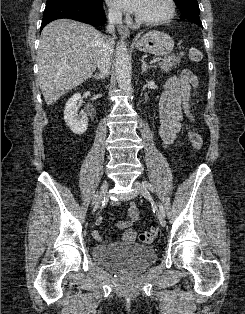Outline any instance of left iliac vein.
I'll return each mask as SVG.
<instances>
[{
	"mask_svg": "<svg viewBox=\"0 0 245 314\" xmlns=\"http://www.w3.org/2000/svg\"><path fill=\"white\" fill-rule=\"evenodd\" d=\"M134 187L137 189V191L142 194L145 198L150 199V196L148 194L147 189L143 186V184L139 181L134 182ZM158 220L161 226L166 225L165 217L163 214L159 211L158 212Z\"/></svg>",
	"mask_w": 245,
	"mask_h": 314,
	"instance_id": "left-iliac-vein-1",
	"label": "left iliac vein"
}]
</instances>
